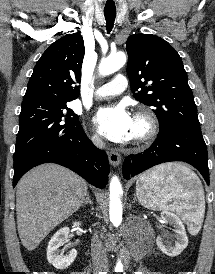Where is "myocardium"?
<instances>
[{
  "label": "myocardium",
  "mask_w": 215,
  "mask_h": 274,
  "mask_svg": "<svg viewBox=\"0 0 215 274\" xmlns=\"http://www.w3.org/2000/svg\"><path fill=\"white\" fill-rule=\"evenodd\" d=\"M135 119L144 126L143 132L132 138L135 145H144L151 142L159 131V122L154 113L148 109H142L135 113Z\"/></svg>",
  "instance_id": "myocardium-1"
}]
</instances>
